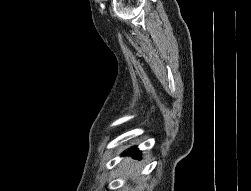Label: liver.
Returning <instances> with one entry per match:
<instances>
[{"instance_id":"1","label":"liver","mask_w":251,"mask_h":191,"mask_svg":"<svg viewBox=\"0 0 251 191\" xmlns=\"http://www.w3.org/2000/svg\"><path fill=\"white\" fill-rule=\"evenodd\" d=\"M133 161L134 159H132V157H126V159H124L122 165L127 169V173H133V171H135Z\"/></svg>"}]
</instances>
